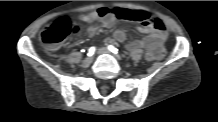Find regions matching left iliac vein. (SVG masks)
<instances>
[{
    "label": "left iliac vein",
    "mask_w": 218,
    "mask_h": 122,
    "mask_svg": "<svg viewBox=\"0 0 218 122\" xmlns=\"http://www.w3.org/2000/svg\"><path fill=\"white\" fill-rule=\"evenodd\" d=\"M98 53L99 54H110V51L105 47H101L98 49Z\"/></svg>",
    "instance_id": "1"
}]
</instances>
